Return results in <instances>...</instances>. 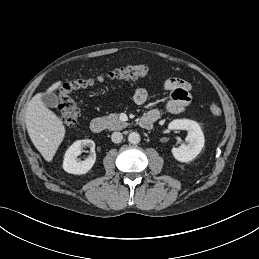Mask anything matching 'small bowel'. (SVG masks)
<instances>
[{
	"instance_id": "small-bowel-1",
	"label": "small bowel",
	"mask_w": 259,
	"mask_h": 259,
	"mask_svg": "<svg viewBox=\"0 0 259 259\" xmlns=\"http://www.w3.org/2000/svg\"><path fill=\"white\" fill-rule=\"evenodd\" d=\"M161 88L170 92V98L165 103L164 108L166 111L178 114L183 112L191 103V86L185 80L176 77H166L161 81ZM148 98V91L144 87H138L133 96V101L138 105H143ZM146 116L155 118L160 117L159 109L150 110Z\"/></svg>"
}]
</instances>
